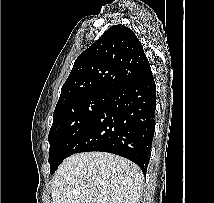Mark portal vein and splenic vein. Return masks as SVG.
I'll list each match as a JSON object with an SVG mask.
<instances>
[{
	"instance_id": "18ae733b",
	"label": "portal vein and splenic vein",
	"mask_w": 214,
	"mask_h": 203,
	"mask_svg": "<svg viewBox=\"0 0 214 203\" xmlns=\"http://www.w3.org/2000/svg\"><path fill=\"white\" fill-rule=\"evenodd\" d=\"M79 191L78 190H73V194H78Z\"/></svg>"
}]
</instances>
